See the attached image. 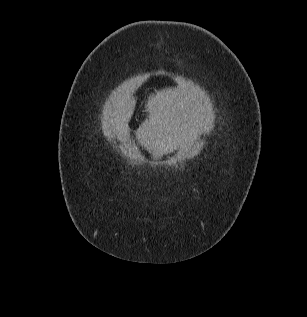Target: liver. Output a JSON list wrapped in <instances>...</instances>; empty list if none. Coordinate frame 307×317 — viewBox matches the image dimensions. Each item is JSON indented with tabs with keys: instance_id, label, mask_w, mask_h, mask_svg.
I'll list each match as a JSON object with an SVG mask.
<instances>
[{
	"instance_id": "6515ba94",
	"label": "liver",
	"mask_w": 307,
	"mask_h": 317,
	"mask_svg": "<svg viewBox=\"0 0 307 317\" xmlns=\"http://www.w3.org/2000/svg\"><path fill=\"white\" fill-rule=\"evenodd\" d=\"M135 103L134 99L117 95L110 97L104 106L109 125L120 137L127 133ZM145 108L149 115L136 134L154 155L162 156L178 147L187 149L208 128L207 107L190 85L155 91L148 97Z\"/></svg>"
}]
</instances>
